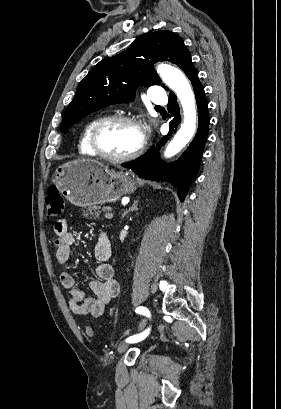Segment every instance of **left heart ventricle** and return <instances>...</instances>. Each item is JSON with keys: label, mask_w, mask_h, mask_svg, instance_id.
<instances>
[{"label": "left heart ventricle", "mask_w": 281, "mask_h": 409, "mask_svg": "<svg viewBox=\"0 0 281 409\" xmlns=\"http://www.w3.org/2000/svg\"><path fill=\"white\" fill-rule=\"evenodd\" d=\"M141 142L139 131L132 125L116 122L105 127L101 134L102 150L110 156H123L133 152Z\"/></svg>", "instance_id": "obj_1"}]
</instances>
